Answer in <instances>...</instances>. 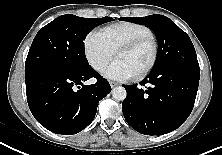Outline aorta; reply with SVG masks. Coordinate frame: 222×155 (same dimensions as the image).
<instances>
[{
  "label": "aorta",
  "mask_w": 222,
  "mask_h": 155,
  "mask_svg": "<svg viewBox=\"0 0 222 155\" xmlns=\"http://www.w3.org/2000/svg\"><path fill=\"white\" fill-rule=\"evenodd\" d=\"M111 93H112V97L117 101H123L127 96V92L125 88L122 86L113 88Z\"/></svg>",
  "instance_id": "1"
}]
</instances>
